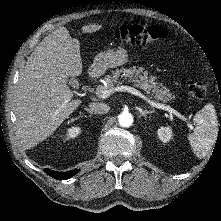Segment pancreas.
Returning a JSON list of instances; mask_svg holds the SVG:
<instances>
[{
	"instance_id": "1",
	"label": "pancreas",
	"mask_w": 221,
	"mask_h": 221,
	"mask_svg": "<svg viewBox=\"0 0 221 221\" xmlns=\"http://www.w3.org/2000/svg\"><path fill=\"white\" fill-rule=\"evenodd\" d=\"M121 78H124L130 83H133L135 87L143 89L157 101L164 103L175 98L170 90L154 81L153 76H149L147 71H143V68L132 67L129 69L120 68L112 72V75H107L104 78L107 89H113L115 85L121 84ZM98 90H105V87L100 85Z\"/></svg>"
}]
</instances>
